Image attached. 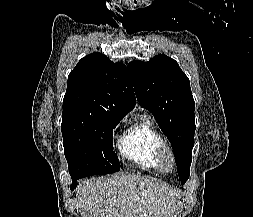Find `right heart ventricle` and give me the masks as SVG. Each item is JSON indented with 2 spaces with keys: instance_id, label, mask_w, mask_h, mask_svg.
Returning <instances> with one entry per match:
<instances>
[{
  "instance_id": "1",
  "label": "right heart ventricle",
  "mask_w": 253,
  "mask_h": 217,
  "mask_svg": "<svg viewBox=\"0 0 253 217\" xmlns=\"http://www.w3.org/2000/svg\"><path fill=\"white\" fill-rule=\"evenodd\" d=\"M162 137L150 119L145 118L128 127L118 140L120 154L148 171H161L157 151Z\"/></svg>"
}]
</instances>
